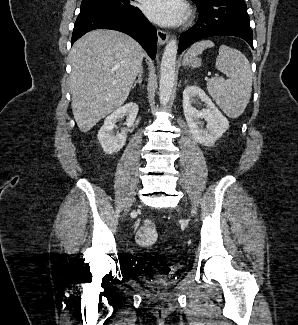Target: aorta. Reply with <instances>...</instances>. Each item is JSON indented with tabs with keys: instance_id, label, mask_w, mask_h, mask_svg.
Masks as SVG:
<instances>
[{
	"instance_id": "aorta-1",
	"label": "aorta",
	"mask_w": 298,
	"mask_h": 325,
	"mask_svg": "<svg viewBox=\"0 0 298 325\" xmlns=\"http://www.w3.org/2000/svg\"><path fill=\"white\" fill-rule=\"evenodd\" d=\"M178 54V40L170 36L167 40L160 64L159 102L162 106L168 104L175 84L176 62Z\"/></svg>"
}]
</instances>
